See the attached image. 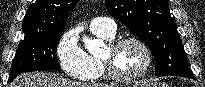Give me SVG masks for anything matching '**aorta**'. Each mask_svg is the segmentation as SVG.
Segmentation results:
<instances>
[{"label": "aorta", "mask_w": 205, "mask_h": 87, "mask_svg": "<svg viewBox=\"0 0 205 87\" xmlns=\"http://www.w3.org/2000/svg\"><path fill=\"white\" fill-rule=\"evenodd\" d=\"M83 43L89 51L98 50L103 42L99 39H90L86 36L83 37Z\"/></svg>", "instance_id": "762f6f07"}]
</instances>
